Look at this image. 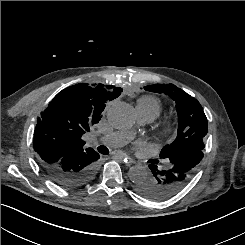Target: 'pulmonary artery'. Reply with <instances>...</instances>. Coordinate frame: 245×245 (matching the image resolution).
Here are the masks:
<instances>
[{
	"label": "pulmonary artery",
	"mask_w": 245,
	"mask_h": 245,
	"mask_svg": "<svg viewBox=\"0 0 245 245\" xmlns=\"http://www.w3.org/2000/svg\"><path fill=\"white\" fill-rule=\"evenodd\" d=\"M137 115L141 123H149L156 117L153 113L136 107ZM132 138L130 131H115L102 138V141L110 147H118L126 144Z\"/></svg>",
	"instance_id": "pulmonary-artery-1"
}]
</instances>
